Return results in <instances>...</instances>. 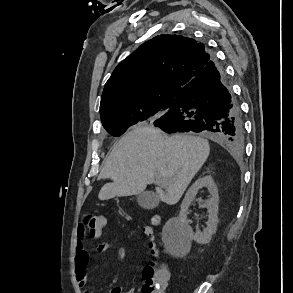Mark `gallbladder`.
<instances>
[{
  "label": "gallbladder",
  "instance_id": "gallbladder-1",
  "mask_svg": "<svg viewBox=\"0 0 293 293\" xmlns=\"http://www.w3.org/2000/svg\"><path fill=\"white\" fill-rule=\"evenodd\" d=\"M138 205L144 209H153L159 204V197L152 191H145L137 197Z\"/></svg>",
  "mask_w": 293,
  "mask_h": 293
}]
</instances>
